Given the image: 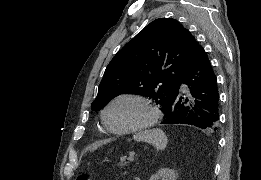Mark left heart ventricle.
Instances as JSON below:
<instances>
[{"mask_svg": "<svg viewBox=\"0 0 261 180\" xmlns=\"http://www.w3.org/2000/svg\"><path fill=\"white\" fill-rule=\"evenodd\" d=\"M146 108L134 100H122L111 107L108 113L110 125L116 130L138 126L144 119Z\"/></svg>", "mask_w": 261, "mask_h": 180, "instance_id": "b2bd125f", "label": "left heart ventricle"}]
</instances>
